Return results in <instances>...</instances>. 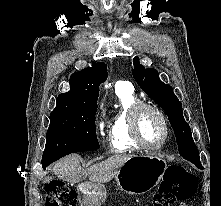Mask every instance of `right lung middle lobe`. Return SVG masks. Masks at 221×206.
Masks as SVG:
<instances>
[{"label": "right lung middle lobe", "instance_id": "right-lung-middle-lobe-1", "mask_svg": "<svg viewBox=\"0 0 221 206\" xmlns=\"http://www.w3.org/2000/svg\"><path fill=\"white\" fill-rule=\"evenodd\" d=\"M96 110L97 107L52 112L42 164L52 163L70 153L98 149Z\"/></svg>", "mask_w": 221, "mask_h": 206}]
</instances>
